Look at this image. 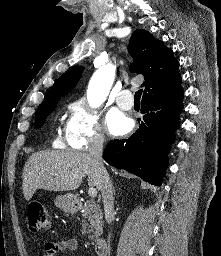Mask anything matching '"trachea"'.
Returning a JSON list of instances; mask_svg holds the SVG:
<instances>
[{"mask_svg": "<svg viewBox=\"0 0 221 256\" xmlns=\"http://www.w3.org/2000/svg\"><path fill=\"white\" fill-rule=\"evenodd\" d=\"M142 89L138 90L136 93H135V97H134V102L136 103H140V98H141V95H142Z\"/></svg>", "mask_w": 221, "mask_h": 256, "instance_id": "1", "label": "trachea"}]
</instances>
